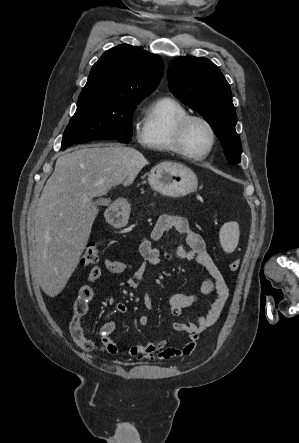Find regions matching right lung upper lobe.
<instances>
[{"label": "right lung upper lobe", "mask_w": 299, "mask_h": 443, "mask_svg": "<svg viewBox=\"0 0 299 443\" xmlns=\"http://www.w3.org/2000/svg\"><path fill=\"white\" fill-rule=\"evenodd\" d=\"M162 59L139 47L122 44L107 50L92 66L80 95L143 100L162 79Z\"/></svg>", "instance_id": "1"}]
</instances>
